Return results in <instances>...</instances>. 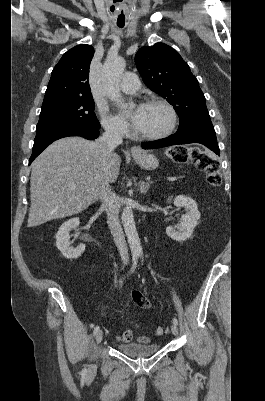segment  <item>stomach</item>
<instances>
[{
  "label": "stomach",
  "instance_id": "0dacf381",
  "mask_svg": "<svg viewBox=\"0 0 265 401\" xmlns=\"http://www.w3.org/2000/svg\"><path fill=\"white\" fill-rule=\"evenodd\" d=\"M132 156L141 166V168H145V170H154V168H157L159 166V160L154 156V154H150L148 150H139V152H132Z\"/></svg>",
  "mask_w": 265,
  "mask_h": 401
}]
</instances>
